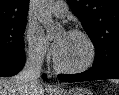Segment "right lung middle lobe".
Masks as SVG:
<instances>
[{
  "mask_svg": "<svg viewBox=\"0 0 119 95\" xmlns=\"http://www.w3.org/2000/svg\"><path fill=\"white\" fill-rule=\"evenodd\" d=\"M26 21L0 25V54L24 52L23 34Z\"/></svg>",
  "mask_w": 119,
  "mask_h": 95,
  "instance_id": "obj_1",
  "label": "right lung middle lobe"
}]
</instances>
